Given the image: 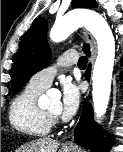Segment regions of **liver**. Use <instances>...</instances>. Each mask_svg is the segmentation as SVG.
<instances>
[{
    "label": "liver",
    "mask_w": 123,
    "mask_h": 152,
    "mask_svg": "<svg viewBox=\"0 0 123 152\" xmlns=\"http://www.w3.org/2000/svg\"><path fill=\"white\" fill-rule=\"evenodd\" d=\"M59 145L53 139L41 138L22 146L16 152H57Z\"/></svg>",
    "instance_id": "6515ba94"
}]
</instances>
